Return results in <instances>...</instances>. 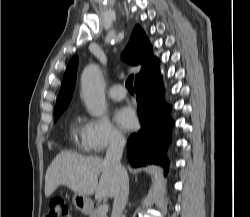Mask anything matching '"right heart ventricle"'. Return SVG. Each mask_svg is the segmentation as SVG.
Returning a JSON list of instances; mask_svg holds the SVG:
<instances>
[{
  "label": "right heart ventricle",
  "instance_id": "obj_1",
  "mask_svg": "<svg viewBox=\"0 0 250 217\" xmlns=\"http://www.w3.org/2000/svg\"><path fill=\"white\" fill-rule=\"evenodd\" d=\"M83 125L78 120H74L70 127V132L79 148L85 149L82 142Z\"/></svg>",
  "mask_w": 250,
  "mask_h": 217
}]
</instances>
